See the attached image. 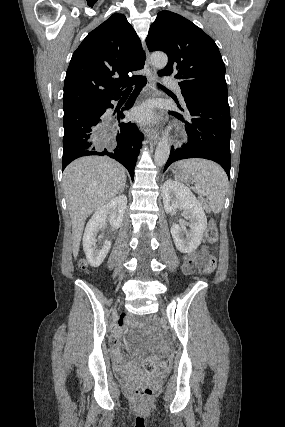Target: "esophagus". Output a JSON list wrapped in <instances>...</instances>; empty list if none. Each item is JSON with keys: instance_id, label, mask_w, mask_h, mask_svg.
<instances>
[{"instance_id": "obj_1", "label": "esophagus", "mask_w": 285, "mask_h": 427, "mask_svg": "<svg viewBox=\"0 0 285 427\" xmlns=\"http://www.w3.org/2000/svg\"><path fill=\"white\" fill-rule=\"evenodd\" d=\"M146 67L149 71L148 75V95L150 97H155V81L157 79V73L156 69L152 66L150 60H149V54L147 53V60H146ZM159 111H156L158 113ZM147 137L149 140L153 141L154 143L158 142L159 135L156 130V128L152 124H148L147 127Z\"/></svg>"}]
</instances>
